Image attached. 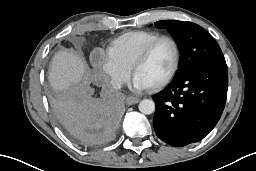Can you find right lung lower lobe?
Returning a JSON list of instances; mask_svg holds the SVG:
<instances>
[{
    "label": "right lung lower lobe",
    "mask_w": 256,
    "mask_h": 171,
    "mask_svg": "<svg viewBox=\"0 0 256 171\" xmlns=\"http://www.w3.org/2000/svg\"><path fill=\"white\" fill-rule=\"evenodd\" d=\"M97 93V94H96ZM59 120L74 139L102 145L114 136L122 113V95L107 86L88 89L56 107Z\"/></svg>",
    "instance_id": "1"
}]
</instances>
